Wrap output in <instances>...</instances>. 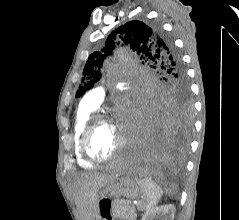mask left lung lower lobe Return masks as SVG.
<instances>
[{
  "label": "left lung lower lobe",
  "mask_w": 239,
  "mask_h": 220,
  "mask_svg": "<svg viewBox=\"0 0 239 220\" xmlns=\"http://www.w3.org/2000/svg\"><path fill=\"white\" fill-rule=\"evenodd\" d=\"M142 138L130 164L145 172L179 166L188 146L189 127L181 126L166 110L152 109L141 121Z\"/></svg>",
  "instance_id": "0a47b994"
}]
</instances>
